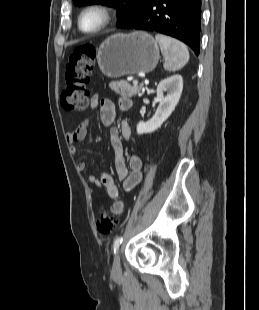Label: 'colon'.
Listing matches in <instances>:
<instances>
[{
    "label": "colon",
    "instance_id": "colon-1",
    "mask_svg": "<svg viewBox=\"0 0 259 310\" xmlns=\"http://www.w3.org/2000/svg\"><path fill=\"white\" fill-rule=\"evenodd\" d=\"M95 67V49L83 44L76 47L67 57L66 84L61 95V104L67 110L82 111L89 103L88 83ZM117 221L102 213L97 220V229L103 235L112 233Z\"/></svg>",
    "mask_w": 259,
    "mask_h": 310
}]
</instances>
